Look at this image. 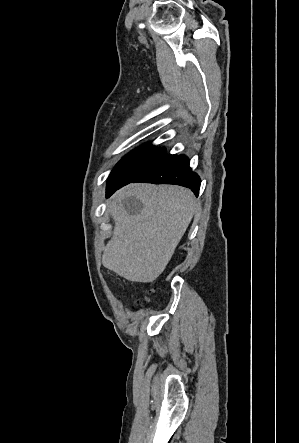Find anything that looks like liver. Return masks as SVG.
Instances as JSON below:
<instances>
[{
    "instance_id": "6515ba94",
    "label": "liver",
    "mask_w": 299,
    "mask_h": 443,
    "mask_svg": "<svg viewBox=\"0 0 299 443\" xmlns=\"http://www.w3.org/2000/svg\"><path fill=\"white\" fill-rule=\"evenodd\" d=\"M195 202L193 193L180 186L137 184L116 193L104 266L132 282L157 279L192 220Z\"/></svg>"
}]
</instances>
